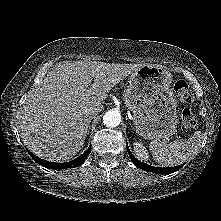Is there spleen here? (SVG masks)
I'll use <instances>...</instances> for the list:
<instances>
[{
  "instance_id": "1",
  "label": "spleen",
  "mask_w": 221,
  "mask_h": 221,
  "mask_svg": "<svg viewBox=\"0 0 221 221\" xmlns=\"http://www.w3.org/2000/svg\"><path fill=\"white\" fill-rule=\"evenodd\" d=\"M201 141L202 134L196 131L188 139L175 140L168 144L165 141L153 140L149 144V149L153 159L162 166H176L194 156L201 146Z\"/></svg>"
}]
</instances>
